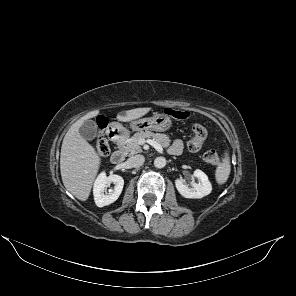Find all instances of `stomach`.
<instances>
[{
	"instance_id": "1",
	"label": "stomach",
	"mask_w": 296,
	"mask_h": 296,
	"mask_svg": "<svg viewBox=\"0 0 296 296\" xmlns=\"http://www.w3.org/2000/svg\"><path fill=\"white\" fill-rule=\"evenodd\" d=\"M171 119L165 114H156L149 118L139 119L138 121H134L131 124V128L134 131H159L163 132L168 130L171 127ZM121 128V125L118 124Z\"/></svg>"
}]
</instances>
